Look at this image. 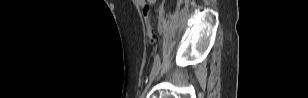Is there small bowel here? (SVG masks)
<instances>
[{
  "mask_svg": "<svg viewBox=\"0 0 308 98\" xmlns=\"http://www.w3.org/2000/svg\"><path fill=\"white\" fill-rule=\"evenodd\" d=\"M154 2H155V0H149V3H150V4H152V3H154ZM138 4H139V6H141L142 8H143L144 6H147V2L144 1V0H138Z\"/></svg>",
  "mask_w": 308,
  "mask_h": 98,
  "instance_id": "c3829d8e",
  "label": "small bowel"
}]
</instances>
